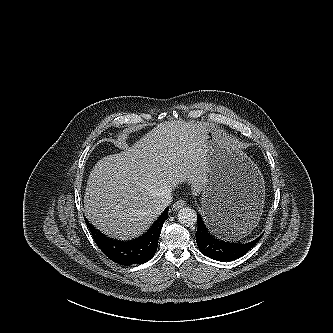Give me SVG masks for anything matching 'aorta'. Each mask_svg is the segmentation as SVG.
Listing matches in <instances>:
<instances>
[{
	"label": "aorta",
	"instance_id": "obj_1",
	"mask_svg": "<svg viewBox=\"0 0 333 333\" xmlns=\"http://www.w3.org/2000/svg\"><path fill=\"white\" fill-rule=\"evenodd\" d=\"M178 220L185 226L194 225L197 222V213L190 207H184L178 212Z\"/></svg>",
	"mask_w": 333,
	"mask_h": 333
}]
</instances>
